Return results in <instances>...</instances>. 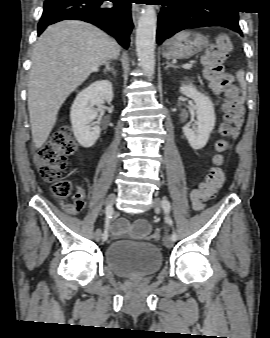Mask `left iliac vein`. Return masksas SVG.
I'll return each mask as SVG.
<instances>
[{
	"label": "left iliac vein",
	"instance_id": "left-iliac-vein-1",
	"mask_svg": "<svg viewBox=\"0 0 270 338\" xmlns=\"http://www.w3.org/2000/svg\"><path fill=\"white\" fill-rule=\"evenodd\" d=\"M161 205H162V200L159 197H154V199H153V209L155 211H159L161 209ZM164 244L167 248H172L173 241H172L170 236H167L164 239Z\"/></svg>",
	"mask_w": 270,
	"mask_h": 338
}]
</instances>
